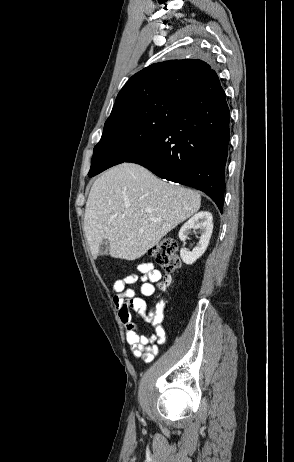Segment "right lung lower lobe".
Instances as JSON below:
<instances>
[{"label": "right lung lower lobe", "instance_id": "1", "mask_svg": "<svg viewBox=\"0 0 294 462\" xmlns=\"http://www.w3.org/2000/svg\"><path fill=\"white\" fill-rule=\"evenodd\" d=\"M180 112L125 162L140 164L157 176L205 192L222 212L230 111L216 81L187 95ZM88 173L89 177L98 171Z\"/></svg>", "mask_w": 294, "mask_h": 462}]
</instances>
